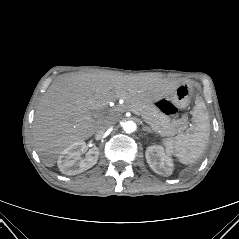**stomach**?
Masks as SVG:
<instances>
[{
	"instance_id": "1",
	"label": "stomach",
	"mask_w": 239,
	"mask_h": 239,
	"mask_svg": "<svg viewBox=\"0 0 239 239\" xmlns=\"http://www.w3.org/2000/svg\"><path fill=\"white\" fill-rule=\"evenodd\" d=\"M192 86L189 83H180L174 89L172 95L166 98H159L154 102L162 109L169 118H178L185 111V105L190 101Z\"/></svg>"
}]
</instances>
